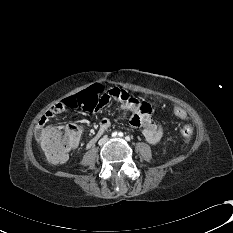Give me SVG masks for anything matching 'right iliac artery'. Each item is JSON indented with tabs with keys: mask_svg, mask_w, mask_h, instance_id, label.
Masks as SVG:
<instances>
[{
	"mask_svg": "<svg viewBox=\"0 0 233 233\" xmlns=\"http://www.w3.org/2000/svg\"><path fill=\"white\" fill-rule=\"evenodd\" d=\"M116 136H117V132H113L112 137H116Z\"/></svg>",
	"mask_w": 233,
	"mask_h": 233,
	"instance_id": "1",
	"label": "right iliac artery"
}]
</instances>
